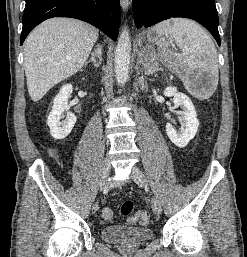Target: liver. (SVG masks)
<instances>
[{
  "label": "liver",
  "instance_id": "6515ba94",
  "mask_svg": "<svg viewBox=\"0 0 247 257\" xmlns=\"http://www.w3.org/2000/svg\"><path fill=\"white\" fill-rule=\"evenodd\" d=\"M98 30L83 21L51 18L38 25L24 44L27 88L34 102L86 63Z\"/></svg>",
  "mask_w": 247,
  "mask_h": 257
}]
</instances>
